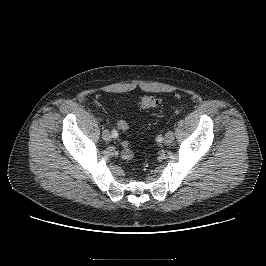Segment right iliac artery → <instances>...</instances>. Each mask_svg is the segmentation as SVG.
<instances>
[{"instance_id":"obj_1","label":"right iliac artery","mask_w":266,"mask_h":266,"mask_svg":"<svg viewBox=\"0 0 266 266\" xmlns=\"http://www.w3.org/2000/svg\"><path fill=\"white\" fill-rule=\"evenodd\" d=\"M112 137L113 138H117V136H118V133H117V131L114 129V130H112Z\"/></svg>"}]
</instances>
